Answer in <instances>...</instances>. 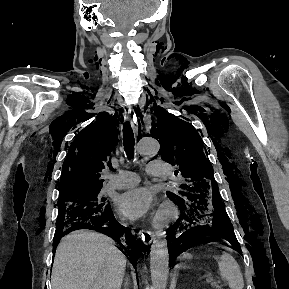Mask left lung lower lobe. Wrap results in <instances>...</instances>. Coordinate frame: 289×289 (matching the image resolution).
Returning a JSON list of instances; mask_svg holds the SVG:
<instances>
[{"label": "left lung lower lobe", "instance_id": "left-lung-lower-lobe-1", "mask_svg": "<svg viewBox=\"0 0 289 289\" xmlns=\"http://www.w3.org/2000/svg\"><path fill=\"white\" fill-rule=\"evenodd\" d=\"M172 201L179 206L181 215L167 233L169 264L192 247L193 239L204 236L224 238L241 254L233 226L219 196L214 194L206 199L202 195H191Z\"/></svg>", "mask_w": 289, "mask_h": 289}]
</instances>
